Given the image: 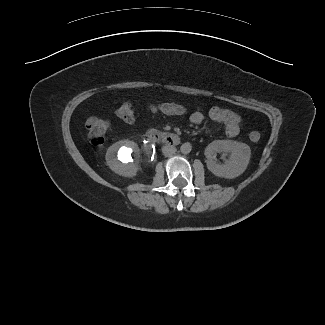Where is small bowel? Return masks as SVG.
<instances>
[{
    "mask_svg": "<svg viewBox=\"0 0 325 325\" xmlns=\"http://www.w3.org/2000/svg\"><path fill=\"white\" fill-rule=\"evenodd\" d=\"M208 114L213 122L225 127V132L228 137H236L239 134L241 119L236 113L221 107H212ZM204 118L202 108H197L189 116L190 122L195 125L202 124Z\"/></svg>",
    "mask_w": 325,
    "mask_h": 325,
    "instance_id": "c3829d8e",
    "label": "small bowel"
}]
</instances>
